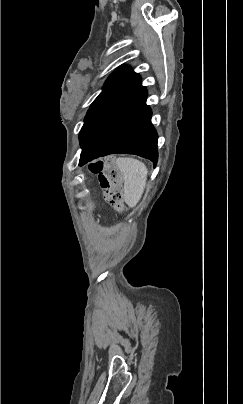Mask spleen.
Listing matches in <instances>:
<instances>
[{
    "label": "spleen",
    "mask_w": 243,
    "mask_h": 404,
    "mask_svg": "<svg viewBox=\"0 0 243 404\" xmlns=\"http://www.w3.org/2000/svg\"><path fill=\"white\" fill-rule=\"evenodd\" d=\"M116 164L124 176V202L129 208H135L143 196L148 170L134 158H117Z\"/></svg>",
    "instance_id": "1"
}]
</instances>
